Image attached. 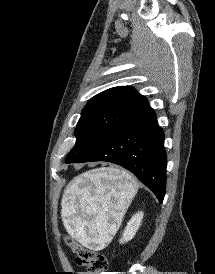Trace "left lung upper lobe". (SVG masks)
<instances>
[{"label": "left lung upper lobe", "instance_id": "1", "mask_svg": "<svg viewBox=\"0 0 215 274\" xmlns=\"http://www.w3.org/2000/svg\"><path fill=\"white\" fill-rule=\"evenodd\" d=\"M148 106L147 99L129 86L110 88L92 97L82 110L75 129L76 144L66 163L85 157L115 128Z\"/></svg>", "mask_w": 215, "mask_h": 274}]
</instances>
